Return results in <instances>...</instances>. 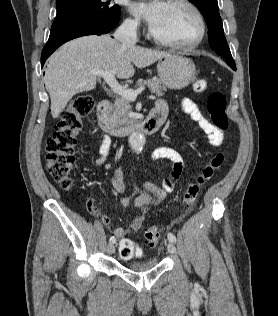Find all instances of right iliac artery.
Instances as JSON below:
<instances>
[{"mask_svg": "<svg viewBox=\"0 0 278 316\" xmlns=\"http://www.w3.org/2000/svg\"><path fill=\"white\" fill-rule=\"evenodd\" d=\"M109 242L110 243H115L116 242V238L114 236L110 237Z\"/></svg>", "mask_w": 278, "mask_h": 316, "instance_id": "82829eb1", "label": "right iliac artery"}]
</instances>
